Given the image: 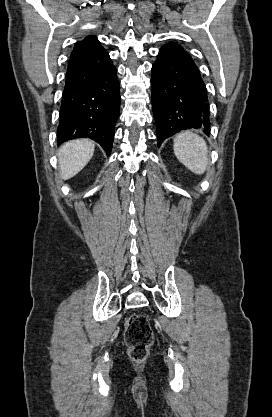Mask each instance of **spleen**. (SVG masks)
<instances>
[{
    "label": "spleen",
    "mask_w": 272,
    "mask_h": 417,
    "mask_svg": "<svg viewBox=\"0 0 272 417\" xmlns=\"http://www.w3.org/2000/svg\"><path fill=\"white\" fill-rule=\"evenodd\" d=\"M173 150L177 159L195 174H203L209 162L208 147L205 140L191 131L176 135Z\"/></svg>",
    "instance_id": "1"
}]
</instances>
